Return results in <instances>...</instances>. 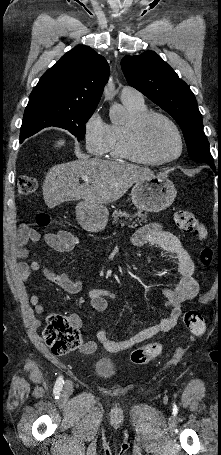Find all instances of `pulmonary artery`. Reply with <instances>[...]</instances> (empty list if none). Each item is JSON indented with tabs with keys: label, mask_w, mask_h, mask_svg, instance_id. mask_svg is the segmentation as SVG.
<instances>
[{
	"label": "pulmonary artery",
	"mask_w": 221,
	"mask_h": 455,
	"mask_svg": "<svg viewBox=\"0 0 221 455\" xmlns=\"http://www.w3.org/2000/svg\"><path fill=\"white\" fill-rule=\"evenodd\" d=\"M120 97L124 103L134 105L144 104V98L141 92L131 86H124L121 90Z\"/></svg>",
	"instance_id": "1"
}]
</instances>
